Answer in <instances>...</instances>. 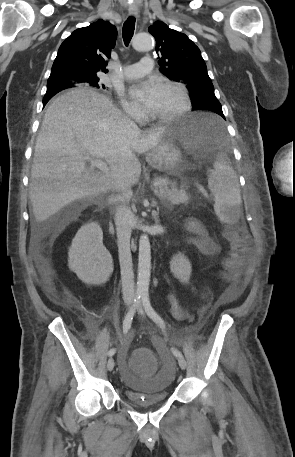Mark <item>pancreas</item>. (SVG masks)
Here are the masks:
<instances>
[{
	"label": "pancreas",
	"instance_id": "obj_1",
	"mask_svg": "<svg viewBox=\"0 0 295 457\" xmlns=\"http://www.w3.org/2000/svg\"><path fill=\"white\" fill-rule=\"evenodd\" d=\"M166 181L165 185L158 186V196L164 203L169 204H180L188 202L189 194L185 191V185H182L180 189L177 188L175 182H171L166 178H158L155 182Z\"/></svg>",
	"mask_w": 295,
	"mask_h": 457
}]
</instances>
